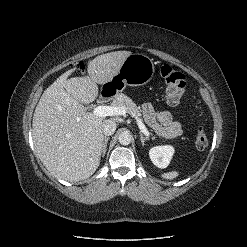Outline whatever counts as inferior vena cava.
I'll return each instance as SVG.
<instances>
[{
	"instance_id": "602c4592",
	"label": "inferior vena cava",
	"mask_w": 247,
	"mask_h": 247,
	"mask_svg": "<svg viewBox=\"0 0 247 247\" xmlns=\"http://www.w3.org/2000/svg\"><path fill=\"white\" fill-rule=\"evenodd\" d=\"M116 123L112 120H105L102 124V132L105 136L114 134L116 130Z\"/></svg>"
}]
</instances>
